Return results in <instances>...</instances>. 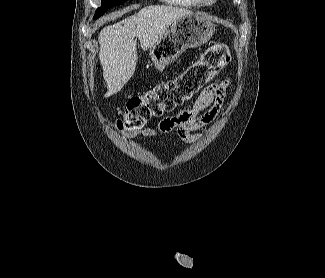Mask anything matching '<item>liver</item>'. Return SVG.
I'll return each mask as SVG.
<instances>
[{
	"label": "liver",
	"instance_id": "liver-1",
	"mask_svg": "<svg viewBox=\"0 0 325 278\" xmlns=\"http://www.w3.org/2000/svg\"><path fill=\"white\" fill-rule=\"evenodd\" d=\"M192 14L194 13L186 8L151 5L142 8L137 14L104 27L98 36L99 60L107 84V93L104 96L108 97L120 91L134 74L138 59L137 38L145 51L166 33L171 24Z\"/></svg>",
	"mask_w": 325,
	"mask_h": 278
}]
</instances>
